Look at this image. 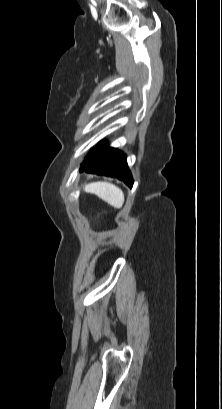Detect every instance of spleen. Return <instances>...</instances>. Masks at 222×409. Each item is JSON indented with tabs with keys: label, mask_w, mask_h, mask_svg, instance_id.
<instances>
[{
	"label": "spleen",
	"mask_w": 222,
	"mask_h": 409,
	"mask_svg": "<svg viewBox=\"0 0 222 409\" xmlns=\"http://www.w3.org/2000/svg\"><path fill=\"white\" fill-rule=\"evenodd\" d=\"M87 193L95 194L114 208L120 209L124 203L123 191L108 182H93L85 186Z\"/></svg>",
	"instance_id": "spleen-1"
}]
</instances>
